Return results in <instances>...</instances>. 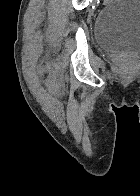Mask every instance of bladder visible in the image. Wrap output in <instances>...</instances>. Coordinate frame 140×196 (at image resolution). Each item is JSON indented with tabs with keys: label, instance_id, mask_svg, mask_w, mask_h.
<instances>
[{
	"label": "bladder",
	"instance_id": "31cf9c89",
	"mask_svg": "<svg viewBox=\"0 0 140 196\" xmlns=\"http://www.w3.org/2000/svg\"><path fill=\"white\" fill-rule=\"evenodd\" d=\"M95 39L107 51L140 53V0H115L102 8Z\"/></svg>",
	"mask_w": 140,
	"mask_h": 196
}]
</instances>
